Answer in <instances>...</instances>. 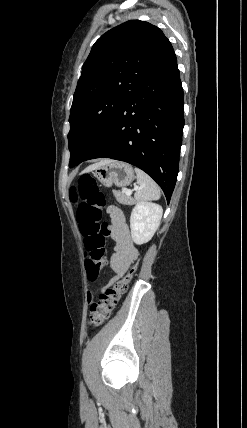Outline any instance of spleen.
Masks as SVG:
<instances>
[{
	"instance_id": "3e777b00",
	"label": "spleen",
	"mask_w": 247,
	"mask_h": 428,
	"mask_svg": "<svg viewBox=\"0 0 247 428\" xmlns=\"http://www.w3.org/2000/svg\"><path fill=\"white\" fill-rule=\"evenodd\" d=\"M135 172L137 174V183L140 185L134 195L135 199L137 201L158 200L161 193L155 181L139 168H135Z\"/></svg>"
}]
</instances>
